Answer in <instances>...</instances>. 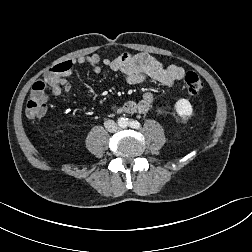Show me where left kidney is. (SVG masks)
<instances>
[{
	"instance_id": "left-kidney-1",
	"label": "left kidney",
	"mask_w": 252,
	"mask_h": 252,
	"mask_svg": "<svg viewBox=\"0 0 252 252\" xmlns=\"http://www.w3.org/2000/svg\"><path fill=\"white\" fill-rule=\"evenodd\" d=\"M174 108L177 114L184 120H188L193 115V108L187 99H179Z\"/></svg>"
}]
</instances>
